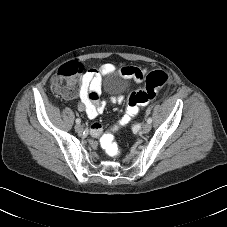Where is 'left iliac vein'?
<instances>
[{"instance_id": "4c4485c4", "label": "left iliac vein", "mask_w": 227, "mask_h": 227, "mask_svg": "<svg viewBox=\"0 0 227 227\" xmlns=\"http://www.w3.org/2000/svg\"><path fill=\"white\" fill-rule=\"evenodd\" d=\"M150 130H151V124L146 123V124L143 125V127H142L143 133H148Z\"/></svg>"}]
</instances>
